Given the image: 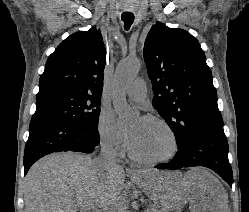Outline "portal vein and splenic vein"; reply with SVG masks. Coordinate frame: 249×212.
<instances>
[{"label":"portal vein and splenic vein","instance_id":"18ae733b","mask_svg":"<svg viewBox=\"0 0 249 212\" xmlns=\"http://www.w3.org/2000/svg\"><path fill=\"white\" fill-rule=\"evenodd\" d=\"M84 212H96V210H91V208H86V210H84ZM146 212H148V210H146Z\"/></svg>","mask_w":249,"mask_h":212}]
</instances>
